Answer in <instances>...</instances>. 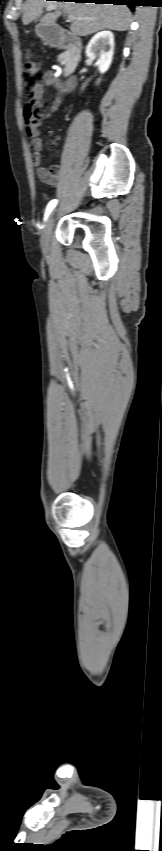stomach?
Returning <instances> with one entry per match:
<instances>
[{
  "instance_id": "1",
  "label": "stomach",
  "mask_w": 162,
  "mask_h": 851,
  "mask_svg": "<svg viewBox=\"0 0 162 851\" xmlns=\"http://www.w3.org/2000/svg\"><path fill=\"white\" fill-rule=\"evenodd\" d=\"M36 34L47 42H54L59 39V28L55 25H47L40 23L36 25Z\"/></svg>"
}]
</instances>
